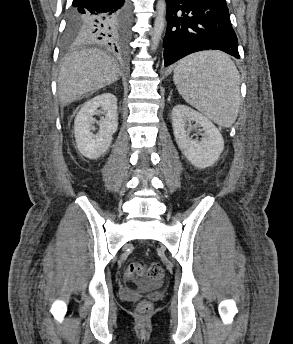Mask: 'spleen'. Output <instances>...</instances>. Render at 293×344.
I'll use <instances>...</instances> for the list:
<instances>
[{"instance_id":"obj_1","label":"spleen","mask_w":293,"mask_h":344,"mask_svg":"<svg viewBox=\"0 0 293 344\" xmlns=\"http://www.w3.org/2000/svg\"><path fill=\"white\" fill-rule=\"evenodd\" d=\"M173 81L179 94L216 124L230 127L237 118L240 100L239 72L219 51H203L180 60Z\"/></svg>"}]
</instances>
